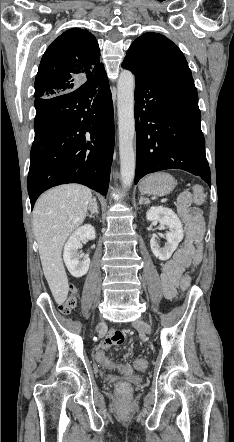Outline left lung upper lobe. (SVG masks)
Returning <instances> with one entry per match:
<instances>
[{
    "label": "left lung upper lobe",
    "instance_id": "obj_1",
    "mask_svg": "<svg viewBox=\"0 0 234 442\" xmlns=\"http://www.w3.org/2000/svg\"><path fill=\"white\" fill-rule=\"evenodd\" d=\"M133 72L190 74L188 63L180 49L158 33H145L130 46L123 61Z\"/></svg>",
    "mask_w": 234,
    "mask_h": 442
}]
</instances>
